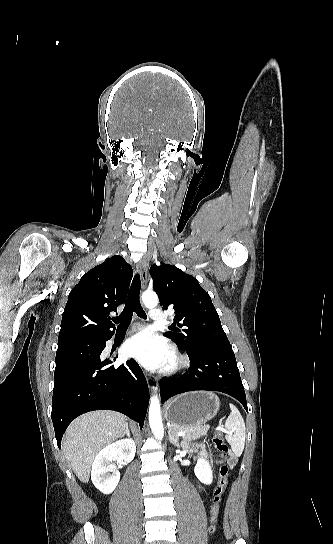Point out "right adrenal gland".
<instances>
[{
    "mask_svg": "<svg viewBox=\"0 0 333 544\" xmlns=\"http://www.w3.org/2000/svg\"><path fill=\"white\" fill-rule=\"evenodd\" d=\"M124 435H127V437H130V436H131L128 424H126V428H125ZM124 435H123V436H124Z\"/></svg>",
    "mask_w": 333,
    "mask_h": 544,
    "instance_id": "1",
    "label": "right adrenal gland"
}]
</instances>
